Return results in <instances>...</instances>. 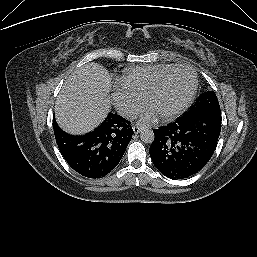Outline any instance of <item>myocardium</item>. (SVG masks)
Listing matches in <instances>:
<instances>
[{"instance_id": "1", "label": "myocardium", "mask_w": 257, "mask_h": 257, "mask_svg": "<svg viewBox=\"0 0 257 257\" xmlns=\"http://www.w3.org/2000/svg\"><path fill=\"white\" fill-rule=\"evenodd\" d=\"M179 69H186L188 71L191 72L192 74V85L191 88L187 94V96L185 97V99L173 110L169 111V112H165V113H159L158 115L162 118V119H171L177 115H179L180 113H182L192 102L195 93L197 91V86H198V77H197V73L195 71L194 68H192L189 65L186 64H178V65H174L171 68H169L168 70H166L164 73H162L157 79L156 81L153 83V85L151 86L150 90L147 93L146 96V105L148 107H150L151 105V101L153 99V97L155 96V94L159 91L160 87L162 86L164 80L174 71L179 70Z\"/></svg>"}]
</instances>
